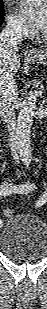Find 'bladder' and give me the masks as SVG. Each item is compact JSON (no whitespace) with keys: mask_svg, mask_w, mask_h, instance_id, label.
I'll return each instance as SVG.
<instances>
[{"mask_svg":"<svg viewBox=\"0 0 47 309\" xmlns=\"http://www.w3.org/2000/svg\"><path fill=\"white\" fill-rule=\"evenodd\" d=\"M2 253L12 259L42 258L47 252V226L31 214L11 216L0 236Z\"/></svg>","mask_w":47,"mask_h":309,"instance_id":"31cf9c89","label":"bladder"}]
</instances>
